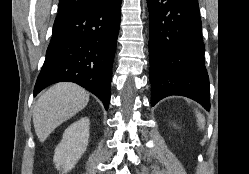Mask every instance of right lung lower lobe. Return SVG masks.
<instances>
[{"label": "right lung lower lobe", "instance_id": "98d812e1", "mask_svg": "<svg viewBox=\"0 0 249 174\" xmlns=\"http://www.w3.org/2000/svg\"><path fill=\"white\" fill-rule=\"evenodd\" d=\"M121 0L55 20L34 96L56 82H74L95 94L108 109Z\"/></svg>", "mask_w": 249, "mask_h": 174}]
</instances>
